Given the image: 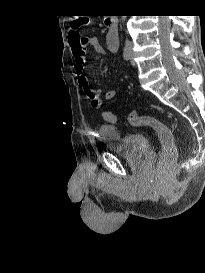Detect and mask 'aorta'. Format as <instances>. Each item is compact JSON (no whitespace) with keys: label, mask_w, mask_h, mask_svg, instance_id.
<instances>
[{"label":"aorta","mask_w":205,"mask_h":273,"mask_svg":"<svg viewBox=\"0 0 205 273\" xmlns=\"http://www.w3.org/2000/svg\"><path fill=\"white\" fill-rule=\"evenodd\" d=\"M126 18H127V16H122L121 17V20H122L123 23L125 22Z\"/></svg>","instance_id":"1"}]
</instances>
